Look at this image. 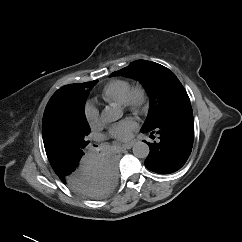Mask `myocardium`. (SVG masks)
<instances>
[{"label":"myocardium","instance_id":"f54148a6","mask_svg":"<svg viewBox=\"0 0 242 242\" xmlns=\"http://www.w3.org/2000/svg\"><path fill=\"white\" fill-rule=\"evenodd\" d=\"M122 105L134 113L143 112L148 105V92L142 84L130 86Z\"/></svg>","mask_w":242,"mask_h":242}]
</instances>
